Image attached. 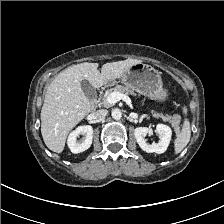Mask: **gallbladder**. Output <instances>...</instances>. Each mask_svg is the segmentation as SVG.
Returning <instances> with one entry per match:
<instances>
[{
    "instance_id": "gallbladder-1",
    "label": "gallbladder",
    "mask_w": 224,
    "mask_h": 224,
    "mask_svg": "<svg viewBox=\"0 0 224 224\" xmlns=\"http://www.w3.org/2000/svg\"><path fill=\"white\" fill-rule=\"evenodd\" d=\"M81 88L88 99H93L95 96V89L87 80L81 81Z\"/></svg>"
}]
</instances>
